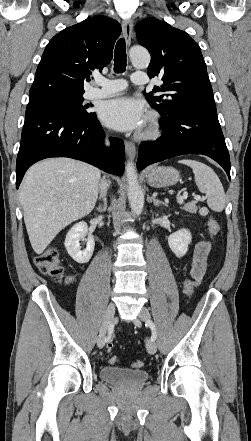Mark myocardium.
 Wrapping results in <instances>:
<instances>
[{"label":"myocardium","instance_id":"1","mask_svg":"<svg viewBox=\"0 0 251 441\" xmlns=\"http://www.w3.org/2000/svg\"><path fill=\"white\" fill-rule=\"evenodd\" d=\"M160 134V123L158 115L151 112L147 117L145 129L139 134L141 139H153Z\"/></svg>","mask_w":251,"mask_h":441}]
</instances>
